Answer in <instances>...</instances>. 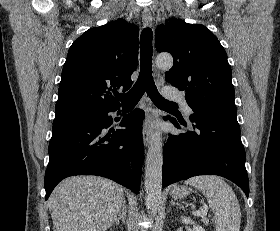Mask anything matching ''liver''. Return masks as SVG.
I'll return each instance as SVG.
<instances>
[{
  "instance_id": "6515ba94",
  "label": "liver",
  "mask_w": 280,
  "mask_h": 231,
  "mask_svg": "<svg viewBox=\"0 0 280 231\" xmlns=\"http://www.w3.org/2000/svg\"><path fill=\"white\" fill-rule=\"evenodd\" d=\"M124 201L121 185L97 175L60 181L49 199L54 231H106Z\"/></svg>"
}]
</instances>
